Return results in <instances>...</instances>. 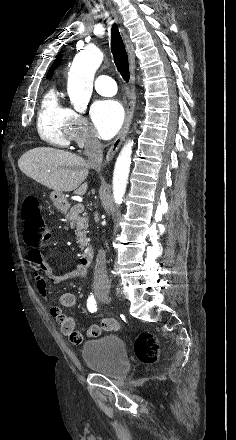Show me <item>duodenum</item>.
Instances as JSON below:
<instances>
[{"label":"duodenum","instance_id":"duodenum-1","mask_svg":"<svg viewBox=\"0 0 236 440\" xmlns=\"http://www.w3.org/2000/svg\"><path fill=\"white\" fill-rule=\"evenodd\" d=\"M92 259H93V249L91 247H87L81 255V259H80L81 266L83 268L90 267L92 263Z\"/></svg>","mask_w":236,"mask_h":440}]
</instances>
